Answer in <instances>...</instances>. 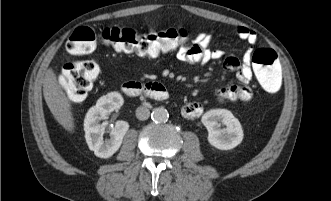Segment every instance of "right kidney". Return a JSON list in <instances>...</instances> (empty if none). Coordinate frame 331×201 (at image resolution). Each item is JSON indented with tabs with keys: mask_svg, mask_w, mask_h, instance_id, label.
<instances>
[{
	"mask_svg": "<svg viewBox=\"0 0 331 201\" xmlns=\"http://www.w3.org/2000/svg\"><path fill=\"white\" fill-rule=\"evenodd\" d=\"M123 97L118 92H110L98 99L95 106L91 107L84 119L85 139L89 149L100 158H110L116 153L129 129L126 121L119 120L110 132V138L103 139L105 126L100 120L123 105Z\"/></svg>",
	"mask_w": 331,
	"mask_h": 201,
	"instance_id": "ca27d5eb",
	"label": "right kidney"
}]
</instances>
